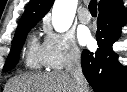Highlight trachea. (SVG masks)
<instances>
[{
  "instance_id": "1",
  "label": "trachea",
  "mask_w": 127,
  "mask_h": 92,
  "mask_svg": "<svg viewBox=\"0 0 127 92\" xmlns=\"http://www.w3.org/2000/svg\"><path fill=\"white\" fill-rule=\"evenodd\" d=\"M88 8H89V11H90L92 16L97 15V1L96 0H91Z\"/></svg>"
}]
</instances>
